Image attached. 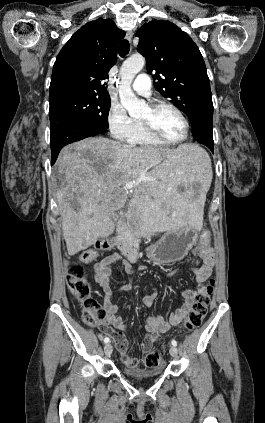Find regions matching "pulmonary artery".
Listing matches in <instances>:
<instances>
[{
  "instance_id": "1",
  "label": "pulmonary artery",
  "mask_w": 265,
  "mask_h": 423,
  "mask_svg": "<svg viewBox=\"0 0 265 423\" xmlns=\"http://www.w3.org/2000/svg\"><path fill=\"white\" fill-rule=\"evenodd\" d=\"M132 89L138 95L144 97L151 96V82L146 74H140L132 84Z\"/></svg>"
}]
</instances>
